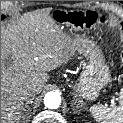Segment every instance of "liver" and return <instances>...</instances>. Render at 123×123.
Segmentation results:
<instances>
[{
    "label": "liver",
    "instance_id": "6515ba94",
    "mask_svg": "<svg viewBox=\"0 0 123 123\" xmlns=\"http://www.w3.org/2000/svg\"><path fill=\"white\" fill-rule=\"evenodd\" d=\"M46 13H28L1 26V123L24 120L23 91H42L47 72L65 64L80 50Z\"/></svg>",
    "mask_w": 123,
    "mask_h": 123
}]
</instances>
